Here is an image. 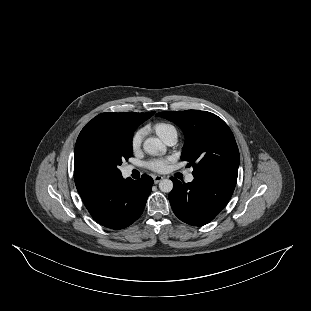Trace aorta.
I'll use <instances>...</instances> for the list:
<instances>
[{
    "mask_svg": "<svg viewBox=\"0 0 311 311\" xmlns=\"http://www.w3.org/2000/svg\"><path fill=\"white\" fill-rule=\"evenodd\" d=\"M143 149L150 155H164L166 154L167 148L158 138L150 137L147 138L143 143ZM159 189L162 192L169 193L173 189V182L169 179H163L159 183Z\"/></svg>",
    "mask_w": 311,
    "mask_h": 311,
    "instance_id": "obj_1",
    "label": "aorta"
}]
</instances>
